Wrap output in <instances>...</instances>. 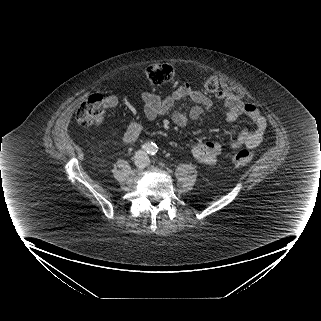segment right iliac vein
Listing matches in <instances>:
<instances>
[{
    "instance_id": "obj_1",
    "label": "right iliac vein",
    "mask_w": 321,
    "mask_h": 321,
    "mask_svg": "<svg viewBox=\"0 0 321 321\" xmlns=\"http://www.w3.org/2000/svg\"><path fill=\"white\" fill-rule=\"evenodd\" d=\"M135 164H136L137 168H139V169L143 168L142 161L138 157L135 158Z\"/></svg>"
}]
</instances>
